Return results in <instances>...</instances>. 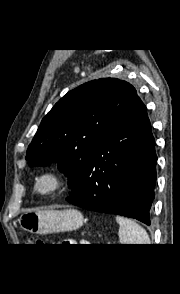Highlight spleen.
Returning a JSON list of instances; mask_svg holds the SVG:
<instances>
[{
    "label": "spleen",
    "instance_id": "spleen-1",
    "mask_svg": "<svg viewBox=\"0 0 180 294\" xmlns=\"http://www.w3.org/2000/svg\"><path fill=\"white\" fill-rule=\"evenodd\" d=\"M119 224V241L121 244H150V238L143 227L135 221L116 216Z\"/></svg>",
    "mask_w": 180,
    "mask_h": 294
}]
</instances>
